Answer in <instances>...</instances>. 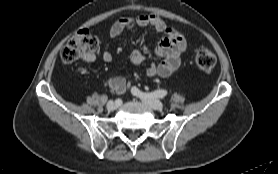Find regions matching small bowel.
Wrapping results in <instances>:
<instances>
[{
  "instance_id": "c3829d8e",
  "label": "small bowel",
  "mask_w": 278,
  "mask_h": 174,
  "mask_svg": "<svg viewBox=\"0 0 278 174\" xmlns=\"http://www.w3.org/2000/svg\"><path fill=\"white\" fill-rule=\"evenodd\" d=\"M152 27L156 32L163 35L156 47V54L161 58L158 64H151L146 68V75L168 77L173 74L181 64V54L185 51L187 42L185 36L178 29L168 26L160 17L154 14H142L136 17H124L115 21L110 29L111 38L119 36L122 32L135 27ZM93 60L94 56L87 58ZM105 62L112 61L110 52L102 53ZM145 59L143 52L134 50L130 55L133 65H140ZM107 86L117 94H123L131 87V83L124 77L116 76L108 79Z\"/></svg>"
}]
</instances>
